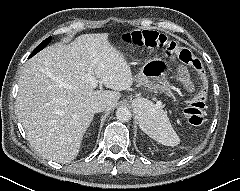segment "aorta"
Wrapping results in <instances>:
<instances>
[{
	"mask_svg": "<svg viewBox=\"0 0 240 191\" xmlns=\"http://www.w3.org/2000/svg\"><path fill=\"white\" fill-rule=\"evenodd\" d=\"M142 105L146 109L149 106V102L142 100L141 101ZM131 111L128 107L121 106L116 110V118L120 122H128L131 119Z\"/></svg>",
	"mask_w": 240,
	"mask_h": 191,
	"instance_id": "obj_1",
	"label": "aorta"
}]
</instances>
